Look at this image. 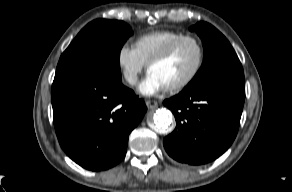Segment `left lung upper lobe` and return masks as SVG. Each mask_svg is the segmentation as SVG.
I'll return each mask as SVG.
<instances>
[{
    "label": "left lung upper lobe",
    "mask_w": 292,
    "mask_h": 192,
    "mask_svg": "<svg viewBox=\"0 0 292 192\" xmlns=\"http://www.w3.org/2000/svg\"><path fill=\"white\" fill-rule=\"evenodd\" d=\"M190 31L197 32L202 39L205 54L201 68L184 89L220 80L244 81L243 68L234 49L215 27L199 22Z\"/></svg>",
    "instance_id": "1"
}]
</instances>
